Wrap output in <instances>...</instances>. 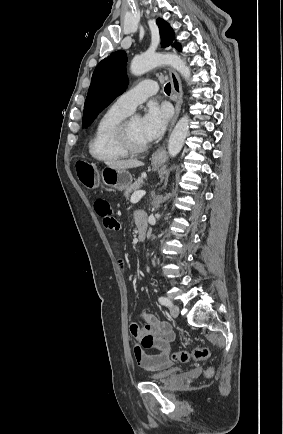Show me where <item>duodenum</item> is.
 I'll use <instances>...</instances> for the list:
<instances>
[{"label":"duodenum","mask_w":283,"mask_h":434,"mask_svg":"<svg viewBox=\"0 0 283 434\" xmlns=\"http://www.w3.org/2000/svg\"><path fill=\"white\" fill-rule=\"evenodd\" d=\"M138 239L143 242L146 238L147 223L144 220L137 221Z\"/></svg>","instance_id":"duodenum-1"}]
</instances>
